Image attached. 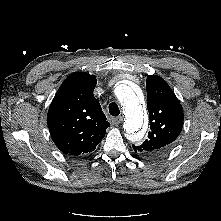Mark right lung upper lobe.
Returning <instances> with one entry per match:
<instances>
[{
  "label": "right lung upper lobe",
  "instance_id": "cb5924a9",
  "mask_svg": "<svg viewBox=\"0 0 221 221\" xmlns=\"http://www.w3.org/2000/svg\"><path fill=\"white\" fill-rule=\"evenodd\" d=\"M96 77L84 72L69 75L51 102L47 115L50 135L65 154L92 152L110 126L93 95Z\"/></svg>",
  "mask_w": 221,
  "mask_h": 221
}]
</instances>
